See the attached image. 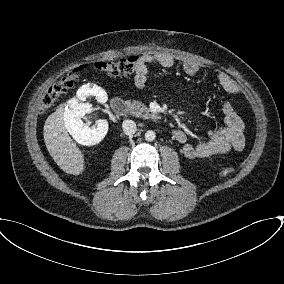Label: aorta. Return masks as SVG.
I'll use <instances>...</instances> for the list:
<instances>
[{
    "label": "aorta",
    "instance_id": "aorta-1",
    "mask_svg": "<svg viewBox=\"0 0 284 284\" xmlns=\"http://www.w3.org/2000/svg\"><path fill=\"white\" fill-rule=\"evenodd\" d=\"M156 137V134L154 131L152 130H148L146 133H145V139L147 141H153Z\"/></svg>",
    "mask_w": 284,
    "mask_h": 284
}]
</instances>
